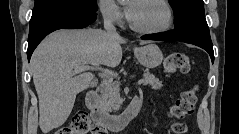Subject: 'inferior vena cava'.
Instances as JSON below:
<instances>
[{
    "mask_svg": "<svg viewBox=\"0 0 239 134\" xmlns=\"http://www.w3.org/2000/svg\"><path fill=\"white\" fill-rule=\"evenodd\" d=\"M104 29L110 35H116L117 34L116 28H115V26L113 24L112 17L109 14H106L104 16Z\"/></svg>",
    "mask_w": 239,
    "mask_h": 134,
    "instance_id": "602c4592",
    "label": "inferior vena cava"
}]
</instances>
